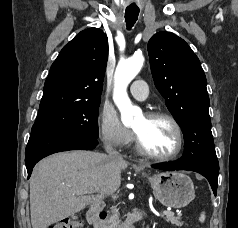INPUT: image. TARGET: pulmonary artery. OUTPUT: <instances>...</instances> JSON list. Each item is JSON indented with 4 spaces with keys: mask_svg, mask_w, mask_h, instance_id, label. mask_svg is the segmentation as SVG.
I'll use <instances>...</instances> for the list:
<instances>
[{
    "mask_svg": "<svg viewBox=\"0 0 238 228\" xmlns=\"http://www.w3.org/2000/svg\"><path fill=\"white\" fill-rule=\"evenodd\" d=\"M131 95L137 100H145L148 96L147 84L143 80H136L130 86Z\"/></svg>",
    "mask_w": 238,
    "mask_h": 228,
    "instance_id": "e3ab8cb5",
    "label": "pulmonary artery"
}]
</instances>
